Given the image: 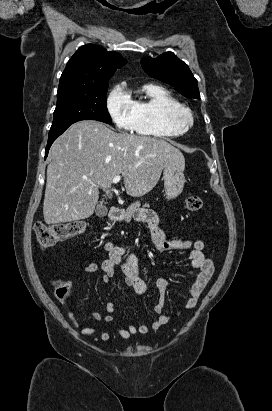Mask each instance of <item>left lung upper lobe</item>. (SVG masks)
Wrapping results in <instances>:
<instances>
[{
  "instance_id": "5c2ea615",
  "label": "left lung upper lobe",
  "mask_w": 272,
  "mask_h": 411,
  "mask_svg": "<svg viewBox=\"0 0 272 411\" xmlns=\"http://www.w3.org/2000/svg\"><path fill=\"white\" fill-rule=\"evenodd\" d=\"M144 71L151 77L175 87L189 99H200L198 82L185 62L172 52L164 53L157 58L141 59Z\"/></svg>"
}]
</instances>
